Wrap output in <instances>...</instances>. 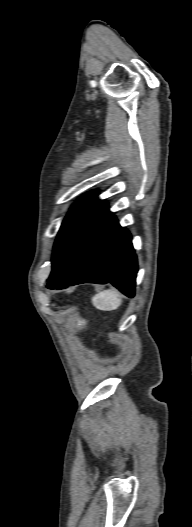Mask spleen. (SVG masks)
<instances>
[{
    "mask_svg": "<svg viewBox=\"0 0 192 527\" xmlns=\"http://www.w3.org/2000/svg\"><path fill=\"white\" fill-rule=\"evenodd\" d=\"M121 303L122 299L117 290H104L92 297V304L99 310H115Z\"/></svg>",
    "mask_w": 192,
    "mask_h": 527,
    "instance_id": "1",
    "label": "spleen"
}]
</instances>
